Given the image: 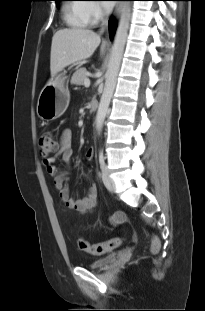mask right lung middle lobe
Masks as SVG:
<instances>
[{"mask_svg": "<svg viewBox=\"0 0 205 311\" xmlns=\"http://www.w3.org/2000/svg\"><path fill=\"white\" fill-rule=\"evenodd\" d=\"M55 1H56V4L58 5L59 1H61V0H55Z\"/></svg>", "mask_w": 205, "mask_h": 311, "instance_id": "dd1d6c3e", "label": "right lung middle lobe"}]
</instances>
